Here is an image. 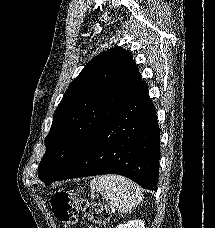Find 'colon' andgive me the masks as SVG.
Returning a JSON list of instances; mask_svg holds the SVG:
<instances>
[{"label": "colon", "mask_w": 215, "mask_h": 228, "mask_svg": "<svg viewBox=\"0 0 215 228\" xmlns=\"http://www.w3.org/2000/svg\"><path fill=\"white\" fill-rule=\"evenodd\" d=\"M51 205L56 219L65 225L73 226L78 221L80 209L88 212L91 221V228H100L109 222V210L100 203H89L84 199L73 202L66 192H57L51 197Z\"/></svg>", "instance_id": "obj_1"}]
</instances>
